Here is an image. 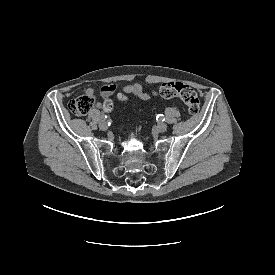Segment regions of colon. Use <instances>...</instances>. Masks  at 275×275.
Returning <instances> with one entry per match:
<instances>
[{
  "instance_id": "colon-1",
  "label": "colon",
  "mask_w": 275,
  "mask_h": 275,
  "mask_svg": "<svg viewBox=\"0 0 275 275\" xmlns=\"http://www.w3.org/2000/svg\"><path fill=\"white\" fill-rule=\"evenodd\" d=\"M155 95L165 99L179 98L192 115L198 113L200 109V101L196 91L184 82H164L155 89ZM126 99L125 94H117V100L119 102H124ZM93 105L94 97L92 95H84L72 99L68 104V108L74 115L83 116L91 110ZM114 105V101L107 98L104 100L103 108L105 111H111Z\"/></svg>"
}]
</instances>
